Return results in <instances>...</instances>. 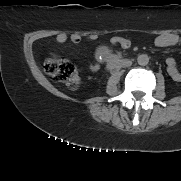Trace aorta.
<instances>
[{"label": "aorta", "mask_w": 181, "mask_h": 181, "mask_svg": "<svg viewBox=\"0 0 181 181\" xmlns=\"http://www.w3.org/2000/svg\"><path fill=\"white\" fill-rule=\"evenodd\" d=\"M137 63L141 66H146L149 63V57L147 54H141L137 57Z\"/></svg>", "instance_id": "aorta-1"}]
</instances>
